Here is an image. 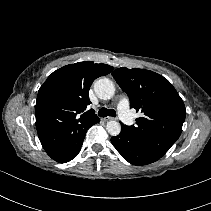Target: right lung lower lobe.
Wrapping results in <instances>:
<instances>
[{
    "label": "right lung lower lobe",
    "instance_id": "right-lung-lower-lobe-1",
    "mask_svg": "<svg viewBox=\"0 0 211 211\" xmlns=\"http://www.w3.org/2000/svg\"><path fill=\"white\" fill-rule=\"evenodd\" d=\"M86 131L87 130H83L79 132L76 135V140L74 144L71 146V148L66 150L62 155L52 157V159H54L55 161L59 163H66V162L71 161L73 158H75L77 154L80 152Z\"/></svg>",
    "mask_w": 211,
    "mask_h": 211
}]
</instances>
